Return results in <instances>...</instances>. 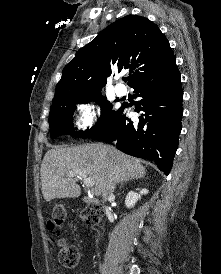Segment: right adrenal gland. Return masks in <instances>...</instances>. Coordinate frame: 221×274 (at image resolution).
<instances>
[{
    "instance_id": "2a0ac1e0",
    "label": "right adrenal gland",
    "mask_w": 221,
    "mask_h": 274,
    "mask_svg": "<svg viewBox=\"0 0 221 274\" xmlns=\"http://www.w3.org/2000/svg\"><path fill=\"white\" fill-rule=\"evenodd\" d=\"M128 182H129V180H125V181L121 182V184H120L119 187H120V188L123 187V185L126 184V183H128Z\"/></svg>"
}]
</instances>
